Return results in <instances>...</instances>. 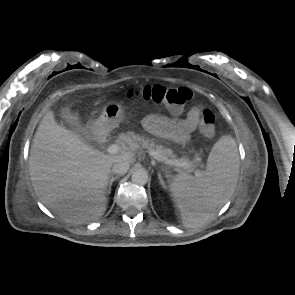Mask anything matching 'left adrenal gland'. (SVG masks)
<instances>
[{
    "label": "left adrenal gland",
    "instance_id": "left-adrenal-gland-1",
    "mask_svg": "<svg viewBox=\"0 0 295 295\" xmlns=\"http://www.w3.org/2000/svg\"><path fill=\"white\" fill-rule=\"evenodd\" d=\"M158 178H159L160 184L163 186V188H166V186L164 184V181H163L162 176H161L160 173L158 174Z\"/></svg>",
    "mask_w": 295,
    "mask_h": 295
}]
</instances>
